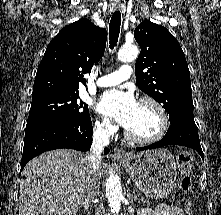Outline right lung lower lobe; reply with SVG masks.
Wrapping results in <instances>:
<instances>
[{"label":"right lung lower lobe","mask_w":221,"mask_h":215,"mask_svg":"<svg viewBox=\"0 0 221 215\" xmlns=\"http://www.w3.org/2000/svg\"><path fill=\"white\" fill-rule=\"evenodd\" d=\"M93 127L91 120L75 127L48 123L28 127L25 130L24 148L21 159V170L26 163L41 153L58 148H69L79 151L90 150ZM108 154L109 149L105 148Z\"/></svg>","instance_id":"1"}]
</instances>
